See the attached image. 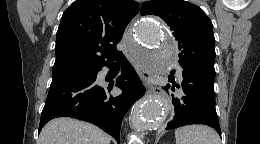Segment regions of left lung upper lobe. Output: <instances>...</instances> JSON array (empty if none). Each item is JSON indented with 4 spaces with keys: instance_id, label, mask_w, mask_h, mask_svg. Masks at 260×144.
<instances>
[{
    "instance_id": "5c2ea615",
    "label": "left lung upper lobe",
    "mask_w": 260,
    "mask_h": 144,
    "mask_svg": "<svg viewBox=\"0 0 260 144\" xmlns=\"http://www.w3.org/2000/svg\"><path fill=\"white\" fill-rule=\"evenodd\" d=\"M141 15H157L167 23L178 42L182 68L215 79L213 27L201 8L183 0H152L141 6Z\"/></svg>"
}]
</instances>
